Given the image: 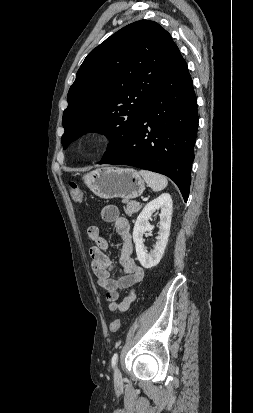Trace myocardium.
<instances>
[{
	"instance_id": "myocardium-1",
	"label": "myocardium",
	"mask_w": 253,
	"mask_h": 413,
	"mask_svg": "<svg viewBox=\"0 0 253 413\" xmlns=\"http://www.w3.org/2000/svg\"><path fill=\"white\" fill-rule=\"evenodd\" d=\"M106 133L98 130L87 132L81 138V148L87 152H95L100 150L107 141Z\"/></svg>"
}]
</instances>
